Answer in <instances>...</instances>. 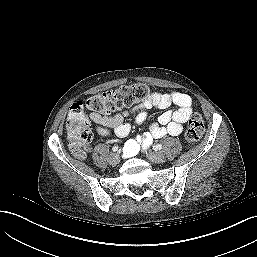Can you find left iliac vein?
Returning a JSON list of instances; mask_svg holds the SVG:
<instances>
[{"label":"left iliac vein","instance_id":"left-iliac-vein-1","mask_svg":"<svg viewBox=\"0 0 257 257\" xmlns=\"http://www.w3.org/2000/svg\"><path fill=\"white\" fill-rule=\"evenodd\" d=\"M146 157L155 163H162L165 161V156L164 154L160 153V152H149L146 154Z\"/></svg>","mask_w":257,"mask_h":257}]
</instances>
